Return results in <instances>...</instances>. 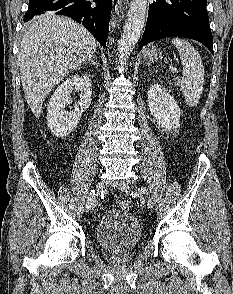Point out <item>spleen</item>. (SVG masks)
<instances>
[{"instance_id": "3e777b00", "label": "spleen", "mask_w": 233, "mask_h": 294, "mask_svg": "<svg viewBox=\"0 0 233 294\" xmlns=\"http://www.w3.org/2000/svg\"><path fill=\"white\" fill-rule=\"evenodd\" d=\"M183 67L182 77H174L175 85L182 90L185 102L190 107L199 103L204 84V66L199 52L186 40L173 38Z\"/></svg>"}]
</instances>
